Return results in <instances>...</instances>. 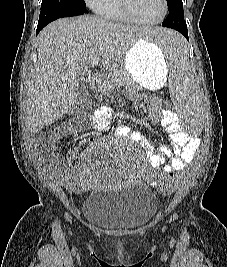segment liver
Masks as SVG:
<instances>
[{"label":"liver","mask_w":227,"mask_h":267,"mask_svg":"<svg viewBox=\"0 0 227 267\" xmlns=\"http://www.w3.org/2000/svg\"><path fill=\"white\" fill-rule=\"evenodd\" d=\"M152 30L84 15L63 18L38 35V61L27 89V125L32 133L63 117L79 96V77L95 59L114 70L130 47Z\"/></svg>","instance_id":"1"}]
</instances>
